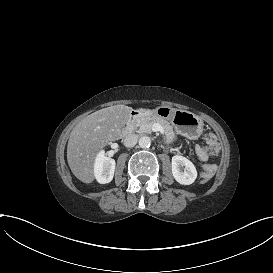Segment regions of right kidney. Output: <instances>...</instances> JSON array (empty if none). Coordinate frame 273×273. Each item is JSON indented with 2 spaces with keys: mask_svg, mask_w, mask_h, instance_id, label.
Instances as JSON below:
<instances>
[{
  "mask_svg": "<svg viewBox=\"0 0 273 273\" xmlns=\"http://www.w3.org/2000/svg\"><path fill=\"white\" fill-rule=\"evenodd\" d=\"M115 171V160L106 157L104 150H101L94 162V176L100 184L112 181Z\"/></svg>",
  "mask_w": 273,
  "mask_h": 273,
  "instance_id": "ca27d5eb",
  "label": "right kidney"
}]
</instances>
